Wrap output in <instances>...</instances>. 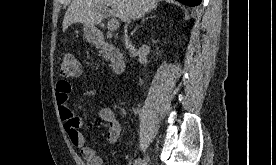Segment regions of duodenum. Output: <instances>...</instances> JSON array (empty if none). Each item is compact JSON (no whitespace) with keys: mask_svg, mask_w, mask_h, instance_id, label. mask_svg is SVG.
<instances>
[{"mask_svg":"<svg viewBox=\"0 0 276 165\" xmlns=\"http://www.w3.org/2000/svg\"><path fill=\"white\" fill-rule=\"evenodd\" d=\"M90 40L107 56L113 73L117 75L121 74L125 67V59L121 50L112 43H109L101 32L92 33Z\"/></svg>","mask_w":276,"mask_h":165,"instance_id":"410a0bca","label":"duodenum"}]
</instances>
